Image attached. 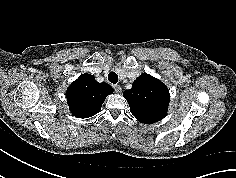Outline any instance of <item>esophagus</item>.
<instances>
[{"label":"esophagus","instance_id":"obj_1","mask_svg":"<svg viewBox=\"0 0 236 178\" xmlns=\"http://www.w3.org/2000/svg\"><path fill=\"white\" fill-rule=\"evenodd\" d=\"M113 88L116 93H121V91H122V88L119 85H114Z\"/></svg>","mask_w":236,"mask_h":178}]
</instances>
